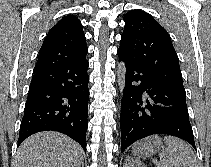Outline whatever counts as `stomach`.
Wrapping results in <instances>:
<instances>
[{
  "label": "stomach",
  "instance_id": "stomach-1",
  "mask_svg": "<svg viewBox=\"0 0 211 167\" xmlns=\"http://www.w3.org/2000/svg\"><path fill=\"white\" fill-rule=\"evenodd\" d=\"M161 148H164L161 138L151 136L137 142L133 147V154L141 158H148L159 152Z\"/></svg>",
  "mask_w": 211,
  "mask_h": 167
}]
</instances>
